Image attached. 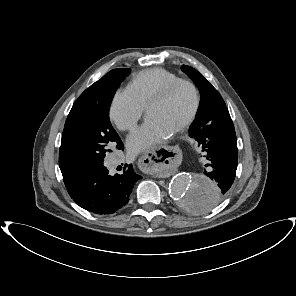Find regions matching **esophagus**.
<instances>
[{
	"label": "esophagus",
	"instance_id": "1",
	"mask_svg": "<svg viewBox=\"0 0 296 296\" xmlns=\"http://www.w3.org/2000/svg\"><path fill=\"white\" fill-rule=\"evenodd\" d=\"M183 157L184 154L180 147L161 143L156 148H151L146 153L140 154L136 159V165L142 173L156 174L168 171L172 166L180 164Z\"/></svg>",
	"mask_w": 296,
	"mask_h": 296
}]
</instances>
